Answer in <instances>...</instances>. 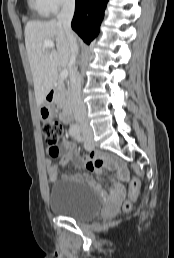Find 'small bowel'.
<instances>
[{
  "mask_svg": "<svg viewBox=\"0 0 174 258\" xmlns=\"http://www.w3.org/2000/svg\"><path fill=\"white\" fill-rule=\"evenodd\" d=\"M57 150V156L61 155L60 163L54 164L49 160L46 162L48 177L52 183H54L58 179V172L60 166L65 165L70 160H73L75 165L82 167L88 171H94L98 175H101L100 168L104 163H106L107 165H110L114 168L120 180L128 179L127 169L122 165L121 161L117 158L101 157L95 152H92L90 155L80 157L76 152L75 145L71 143L68 139H63L62 143L59 146H57ZM120 191L121 185L118 184L114 190L115 196H117L120 193Z\"/></svg>",
  "mask_w": 174,
  "mask_h": 258,
  "instance_id": "small-bowel-1",
  "label": "small bowel"
}]
</instances>
